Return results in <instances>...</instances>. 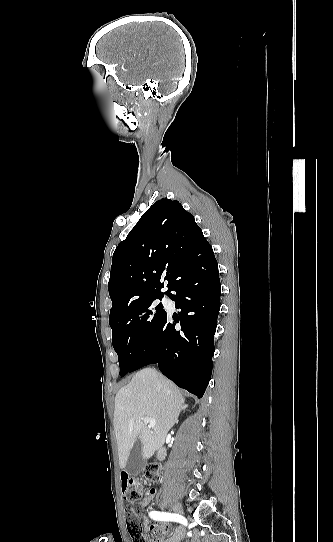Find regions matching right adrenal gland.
Here are the masks:
<instances>
[{"mask_svg":"<svg viewBox=\"0 0 333 542\" xmlns=\"http://www.w3.org/2000/svg\"><path fill=\"white\" fill-rule=\"evenodd\" d=\"M184 408H187V404H183Z\"/></svg>","mask_w":333,"mask_h":542,"instance_id":"right-adrenal-gland-1","label":"right adrenal gland"}]
</instances>
